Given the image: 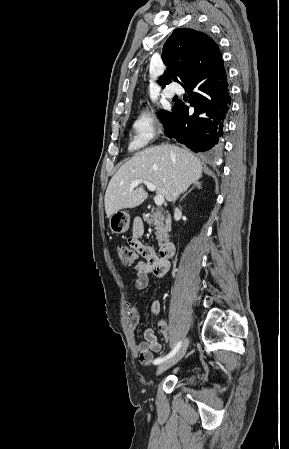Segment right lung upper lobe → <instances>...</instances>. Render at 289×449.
I'll return each instance as SVG.
<instances>
[{"mask_svg": "<svg viewBox=\"0 0 289 449\" xmlns=\"http://www.w3.org/2000/svg\"><path fill=\"white\" fill-rule=\"evenodd\" d=\"M166 71L158 80L164 88L172 81L183 87L202 81L223 65L218 45L207 34L179 28L173 31L163 47Z\"/></svg>", "mask_w": 289, "mask_h": 449, "instance_id": "cb5924a9", "label": "right lung upper lobe"}]
</instances>
